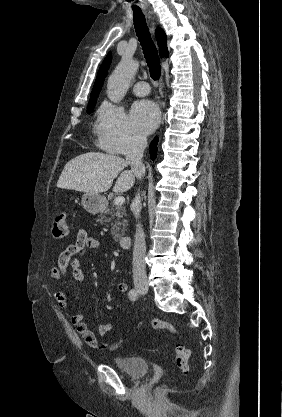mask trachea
<instances>
[{
    "label": "trachea",
    "instance_id": "trachea-1",
    "mask_svg": "<svg viewBox=\"0 0 282 417\" xmlns=\"http://www.w3.org/2000/svg\"><path fill=\"white\" fill-rule=\"evenodd\" d=\"M133 14L136 35L142 46L144 57L150 71V76L153 80H158L161 75V66L157 48L151 38L142 11L134 10Z\"/></svg>",
    "mask_w": 282,
    "mask_h": 417
}]
</instances>
